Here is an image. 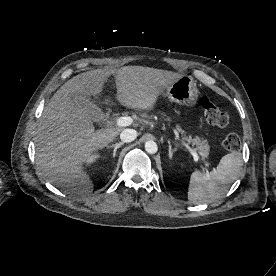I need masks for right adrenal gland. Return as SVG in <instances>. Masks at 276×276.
<instances>
[{"label":"right adrenal gland","instance_id":"obj_1","mask_svg":"<svg viewBox=\"0 0 276 276\" xmlns=\"http://www.w3.org/2000/svg\"><path fill=\"white\" fill-rule=\"evenodd\" d=\"M123 144H124L123 142H119V143L107 146V148H114L113 149V158H115V156H116L117 149H119Z\"/></svg>","mask_w":276,"mask_h":276}]
</instances>
